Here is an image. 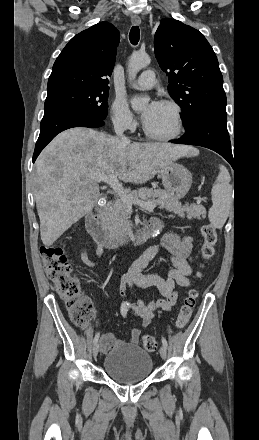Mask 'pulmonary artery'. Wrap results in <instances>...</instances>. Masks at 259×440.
Segmentation results:
<instances>
[{
  "label": "pulmonary artery",
  "mask_w": 259,
  "mask_h": 440,
  "mask_svg": "<svg viewBox=\"0 0 259 440\" xmlns=\"http://www.w3.org/2000/svg\"><path fill=\"white\" fill-rule=\"evenodd\" d=\"M156 83L153 70H145L139 78L133 83V87L140 90L151 89Z\"/></svg>",
  "instance_id": "pulmonary-artery-1"
}]
</instances>
